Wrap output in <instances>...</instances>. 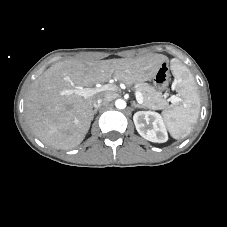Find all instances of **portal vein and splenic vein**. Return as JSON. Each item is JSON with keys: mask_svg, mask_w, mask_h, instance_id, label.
<instances>
[{"mask_svg": "<svg viewBox=\"0 0 227 227\" xmlns=\"http://www.w3.org/2000/svg\"><path fill=\"white\" fill-rule=\"evenodd\" d=\"M116 87L112 84H105L96 88H77L71 92L76 93L77 95L83 96L84 98L91 97L95 95L96 93L102 92V91H109V90H115ZM136 100L139 104H143V96L140 92H135ZM178 101V98L172 97L171 102Z\"/></svg>", "mask_w": 227, "mask_h": 227, "instance_id": "18ae733b", "label": "portal vein and splenic vein"}]
</instances>
